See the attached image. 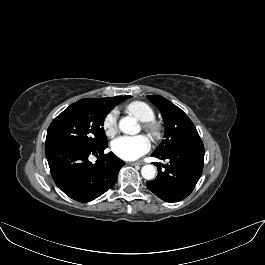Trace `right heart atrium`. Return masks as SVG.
I'll use <instances>...</instances> for the list:
<instances>
[{
    "mask_svg": "<svg viewBox=\"0 0 265 265\" xmlns=\"http://www.w3.org/2000/svg\"><path fill=\"white\" fill-rule=\"evenodd\" d=\"M103 130L108 137H113L117 133V111H110L103 120Z\"/></svg>",
    "mask_w": 265,
    "mask_h": 265,
    "instance_id": "right-heart-atrium-1",
    "label": "right heart atrium"
}]
</instances>
